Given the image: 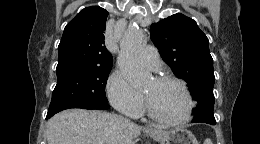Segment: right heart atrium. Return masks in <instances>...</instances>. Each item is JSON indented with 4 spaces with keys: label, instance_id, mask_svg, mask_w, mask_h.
Masks as SVG:
<instances>
[{
    "label": "right heart atrium",
    "instance_id": "d8ad5b80",
    "mask_svg": "<svg viewBox=\"0 0 260 144\" xmlns=\"http://www.w3.org/2000/svg\"><path fill=\"white\" fill-rule=\"evenodd\" d=\"M106 94L111 105L118 111L130 116L140 114L143 107L142 96L120 71H113L109 75Z\"/></svg>",
    "mask_w": 260,
    "mask_h": 144
}]
</instances>
